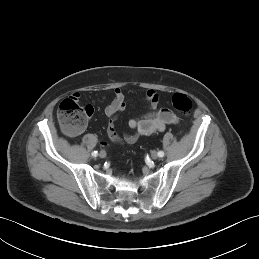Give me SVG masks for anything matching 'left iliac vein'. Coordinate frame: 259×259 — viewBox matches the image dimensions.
Here are the masks:
<instances>
[{"label":"left iliac vein","mask_w":259,"mask_h":259,"mask_svg":"<svg viewBox=\"0 0 259 259\" xmlns=\"http://www.w3.org/2000/svg\"><path fill=\"white\" fill-rule=\"evenodd\" d=\"M151 158H152L153 160H156V159L158 158V153H157L156 151H152V152H151Z\"/></svg>","instance_id":"4c4485c4"}]
</instances>
